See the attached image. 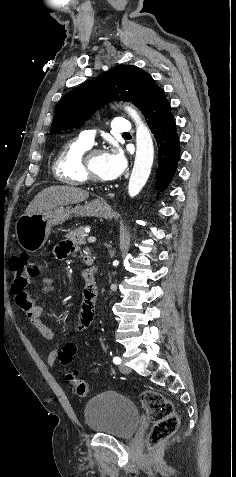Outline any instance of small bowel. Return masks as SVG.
<instances>
[{"instance_id":"c3829d8e","label":"small bowel","mask_w":236,"mask_h":477,"mask_svg":"<svg viewBox=\"0 0 236 477\" xmlns=\"http://www.w3.org/2000/svg\"><path fill=\"white\" fill-rule=\"evenodd\" d=\"M76 250V246L70 241L60 242L55 249V257L58 259H65ZM92 257L89 254L84 256V261ZM90 276V270L84 272V278L86 280V287L83 292V300L80 306L78 318L75 322V329L78 331H85L92 324L94 319V308L97 297V291L95 286L89 284L88 279ZM40 293L32 297L30 294H23L20 296L17 302L19 307L25 311L30 323L40 332L42 337L46 340L54 339L53 330L43 321L44 307L38 303L40 295H45L54 290L56 287V281L53 278L45 277L39 282ZM58 358V352L52 350L47 356V362L49 365H54Z\"/></svg>"}]
</instances>
